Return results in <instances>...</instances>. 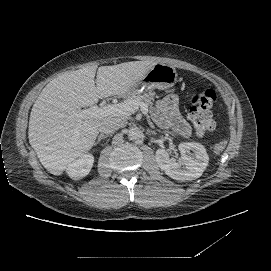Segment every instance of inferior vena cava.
<instances>
[{
	"instance_id": "602c4592",
	"label": "inferior vena cava",
	"mask_w": 271,
	"mask_h": 271,
	"mask_svg": "<svg viewBox=\"0 0 271 271\" xmlns=\"http://www.w3.org/2000/svg\"><path fill=\"white\" fill-rule=\"evenodd\" d=\"M124 121L123 120H111V121H105L103 123H100L98 126V130L101 134H110L114 131H117L118 129L123 127Z\"/></svg>"
}]
</instances>
